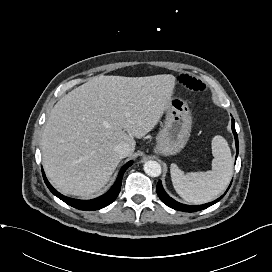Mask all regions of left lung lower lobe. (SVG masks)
Listing matches in <instances>:
<instances>
[{
	"label": "left lung lower lobe",
	"instance_id": "left-lung-lower-lobe-1",
	"mask_svg": "<svg viewBox=\"0 0 272 272\" xmlns=\"http://www.w3.org/2000/svg\"><path fill=\"white\" fill-rule=\"evenodd\" d=\"M232 130H233V134L235 136V143H236V150H237V154H236V158L238 155V136L237 133L235 131V121L234 119H232ZM230 187V186H229ZM228 187V189H229ZM227 189V191H228ZM226 191V192H227ZM226 192L218 199H216L213 202L207 203V204H203V205H185V204H181L175 200H173L171 197H169V195L164 191L163 187H162V183L161 181H159L157 183V194L159 196V198L169 207L175 209V210H180V211H185V212H195V211H199L205 208H208L210 206H212L213 204L217 203L219 200H221L224 195L226 194Z\"/></svg>",
	"mask_w": 272,
	"mask_h": 272
}]
</instances>
